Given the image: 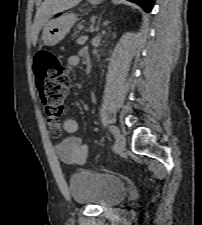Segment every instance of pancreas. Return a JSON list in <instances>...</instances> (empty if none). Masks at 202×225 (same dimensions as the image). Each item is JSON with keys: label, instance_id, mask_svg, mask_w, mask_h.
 Returning a JSON list of instances; mask_svg holds the SVG:
<instances>
[{"label": "pancreas", "instance_id": "pancreas-1", "mask_svg": "<svg viewBox=\"0 0 202 225\" xmlns=\"http://www.w3.org/2000/svg\"><path fill=\"white\" fill-rule=\"evenodd\" d=\"M77 28H78L79 30H81V29H83V25H82V24H78V25H77ZM78 33H79V31H76V32L72 35V37L75 38V37L77 36Z\"/></svg>", "mask_w": 202, "mask_h": 225}]
</instances>
